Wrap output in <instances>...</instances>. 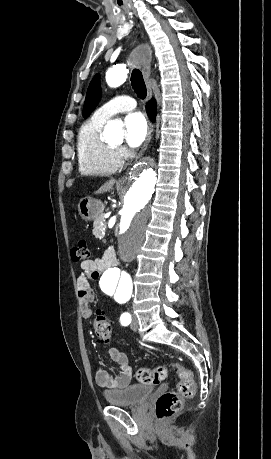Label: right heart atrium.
Returning <instances> with one entry per match:
<instances>
[{
  "instance_id": "right-heart-atrium-1",
  "label": "right heart atrium",
  "mask_w": 271,
  "mask_h": 459,
  "mask_svg": "<svg viewBox=\"0 0 271 459\" xmlns=\"http://www.w3.org/2000/svg\"><path fill=\"white\" fill-rule=\"evenodd\" d=\"M117 155L120 157V158H127L129 156V151L124 148V147H120L118 150H117Z\"/></svg>"
}]
</instances>
